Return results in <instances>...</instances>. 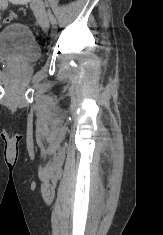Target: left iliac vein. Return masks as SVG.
Wrapping results in <instances>:
<instances>
[{
	"mask_svg": "<svg viewBox=\"0 0 163 235\" xmlns=\"http://www.w3.org/2000/svg\"><path fill=\"white\" fill-rule=\"evenodd\" d=\"M30 3L38 13L42 30L47 32L50 27V22L43 0H30Z\"/></svg>",
	"mask_w": 163,
	"mask_h": 235,
	"instance_id": "obj_1",
	"label": "left iliac vein"
}]
</instances>
